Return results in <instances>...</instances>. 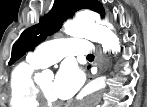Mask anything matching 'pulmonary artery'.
Returning a JSON list of instances; mask_svg holds the SVG:
<instances>
[{
	"instance_id": "obj_1",
	"label": "pulmonary artery",
	"mask_w": 147,
	"mask_h": 107,
	"mask_svg": "<svg viewBox=\"0 0 147 107\" xmlns=\"http://www.w3.org/2000/svg\"><path fill=\"white\" fill-rule=\"evenodd\" d=\"M92 44L88 40L61 38L40 45L30 54V60L47 67L60 61L64 56L74 54H91Z\"/></svg>"
}]
</instances>
